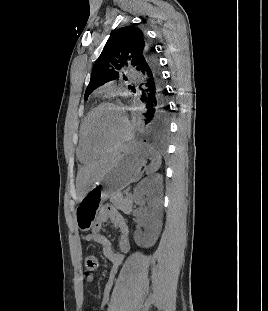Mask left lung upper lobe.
<instances>
[{"label": "left lung upper lobe", "mask_w": 268, "mask_h": 311, "mask_svg": "<svg viewBox=\"0 0 268 311\" xmlns=\"http://www.w3.org/2000/svg\"><path fill=\"white\" fill-rule=\"evenodd\" d=\"M148 45L142 30L134 26L121 27L107 40L93 68L84 99L104 83L119 78L125 67L138 70L139 63L147 59Z\"/></svg>", "instance_id": "left-lung-upper-lobe-1"}]
</instances>
